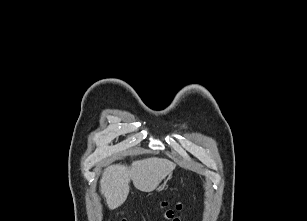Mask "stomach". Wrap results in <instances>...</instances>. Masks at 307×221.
<instances>
[{"label": "stomach", "mask_w": 307, "mask_h": 221, "mask_svg": "<svg viewBox=\"0 0 307 221\" xmlns=\"http://www.w3.org/2000/svg\"><path fill=\"white\" fill-rule=\"evenodd\" d=\"M168 180V179H167ZM167 180L164 182V184L160 187L161 189H163L166 186V182Z\"/></svg>", "instance_id": "obj_1"}]
</instances>
